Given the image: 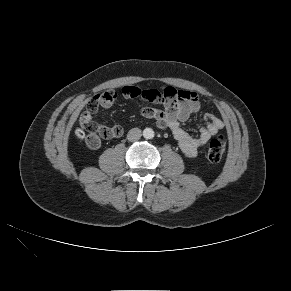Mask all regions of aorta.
Segmentation results:
<instances>
[{
	"label": "aorta",
	"instance_id": "aorta-1",
	"mask_svg": "<svg viewBox=\"0 0 291 291\" xmlns=\"http://www.w3.org/2000/svg\"><path fill=\"white\" fill-rule=\"evenodd\" d=\"M143 136L146 139H152L154 137V131L151 128H145L143 130Z\"/></svg>",
	"mask_w": 291,
	"mask_h": 291
}]
</instances>
